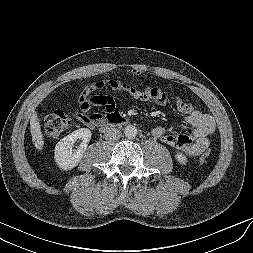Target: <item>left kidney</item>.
<instances>
[{
	"label": "left kidney",
	"instance_id": "left-kidney-1",
	"mask_svg": "<svg viewBox=\"0 0 253 253\" xmlns=\"http://www.w3.org/2000/svg\"><path fill=\"white\" fill-rule=\"evenodd\" d=\"M175 158H176L177 161H178L180 164H182V165H185V164H187V162H188L187 157H186L184 154H182V153H177V154L175 155Z\"/></svg>",
	"mask_w": 253,
	"mask_h": 253
}]
</instances>
